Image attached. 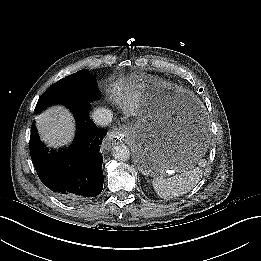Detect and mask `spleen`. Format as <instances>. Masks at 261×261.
I'll list each match as a JSON object with an SVG mask.
<instances>
[{
  "label": "spleen",
  "mask_w": 261,
  "mask_h": 261,
  "mask_svg": "<svg viewBox=\"0 0 261 261\" xmlns=\"http://www.w3.org/2000/svg\"><path fill=\"white\" fill-rule=\"evenodd\" d=\"M198 164L199 167L180 171L179 174L170 178H164L163 176L155 177L152 185L157 195L164 199H171L189 192L200 181L203 174L201 167L206 165V161L200 159Z\"/></svg>",
  "instance_id": "spleen-1"
}]
</instances>
